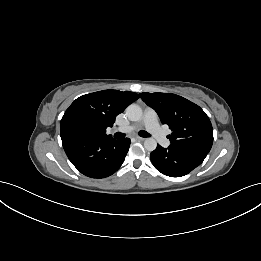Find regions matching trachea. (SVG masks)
I'll return each instance as SVG.
<instances>
[{"instance_id":"3493384b","label":"trachea","mask_w":261,"mask_h":261,"mask_svg":"<svg viewBox=\"0 0 261 261\" xmlns=\"http://www.w3.org/2000/svg\"><path fill=\"white\" fill-rule=\"evenodd\" d=\"M139 135H140L141 137H145V138L150 136V134L147 133L146 131H140V132H139ZM114 137H115L116 139H123V138L125 137V134L120 133V132H117V133L114 134Z\"/></svg>"}]
</instances>
